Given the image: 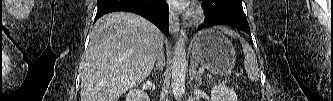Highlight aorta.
<instances>
[{
	"label": "aorta",
	"instance_id": "762f6f07",
	"mask_svg": "<svg viewBox=\"0 0 333 101\" xmlns=\"http://www.w3.org/2000/svg\"><path fill=\"white\" fill-rule=\"evenodd\" d=\"M186 51L185 41L180 38L174 48L172 59V90L175 99L179 100L185 92Z\"/></svg>",
	"mask_w": 333,
	"mask_h": 101
}]
</instances>
